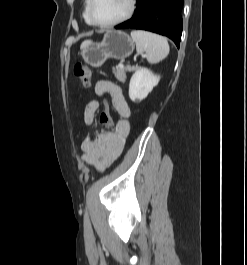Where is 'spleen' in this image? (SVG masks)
I'll use <instances>...</instances> for the list:
<instances>
[{"mask_svg": "<svg viewBox=\"0 0 247 265\" xmlns=\"http://www.w3.org/2000/svg\"><path fill=\"white\" fill-rule=\"evenodd\" d=\"M132 40L136 44L137 54L145 53L147 61L158 63L169 54V44L165 37L143 30L131 32Z\"/></svg>", "mask_w": 247, "mask_h": 265, "instance_id": "spleen-1", "label": "spleen"}]
</instances>
